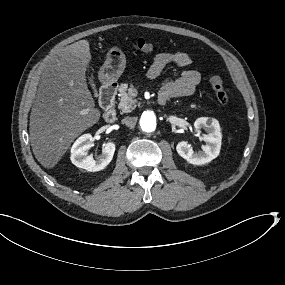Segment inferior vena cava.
<instances>
[{
	"instance_id": "obj_1",
	"label": "inferior vena cava",
	"mask_w": 285,
	"mask_h": 285,
	"mask_svg": "<svg viewBox=\"0 0 285 285\" xmlns=\"http://www.w3.org/2000/svg\"><path fill=\"white\" fill-rule=\"evenodd\" d=\"M137 122V118L136 117H130L127 116L125 118L122 119L121 123L125 124L127 127L133 129L136 125Z\"/></svg>"
}]
</instances>
